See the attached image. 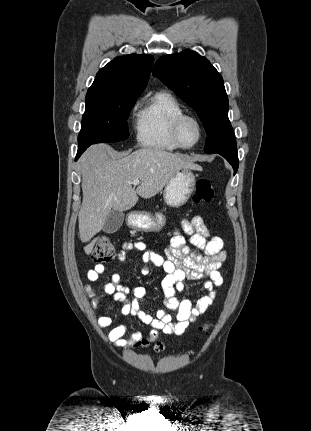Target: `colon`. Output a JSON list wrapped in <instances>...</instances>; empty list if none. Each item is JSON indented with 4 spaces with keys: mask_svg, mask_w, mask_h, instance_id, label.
<instances>
[{
    "mask_svg": "<svg viewBox=\"0 0 311 431\" xmlns=\"http://www.w3.org/2000/svg\"><path fill=\"white\" fill-rule=\"evenodd\" d=\"M214 196V189L210 181L206 178H199L195 184V191L193 194V201L197 204L208 203ZM115 255V247L113 242L108 237H101L96 247L92 252V260L94 262H108ZM148 341L145 339H139L133 344L136 347H145L148 345ZM154 350L160 352L164 349V345L160 342L156 343Z\"/></svg>",
    "mask_w": 311,
    "mask_h": 431,
    "instance_id": "1",
    "label": "colon"
}]
</instances>
